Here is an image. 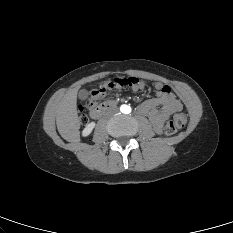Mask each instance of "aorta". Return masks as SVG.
Returning a JSON list of instances; mask_svg holds the SVG:
<instances>
[{
	"instance_id": "762f6f07",
	"label": "aorta",
	"mask_w": 233,
	"mask_h": 233,
	"mask_svg": "<svg viewBox=\"0 0 233 233\" xmlns=\"http://www.w3.org/2000/svg\"><path fill=\"white\" fill-rule=\"evenodd\" d=\"M120 111H121L122 113L128 114V113L131 112V108H130V106H128V105H122V106L120 107Z\"/></svg>"
}]
</instances>
